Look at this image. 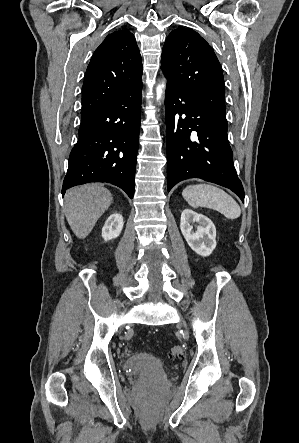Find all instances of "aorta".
<instances>
[{"instance_id": "obj_1", "label": "aorta", "mask_w": 299, "mask_h": 443, "mask_svg": "<svg viewBox=\"0 0 299 443\" xmlns=\"http://www.w3.org/2000/svg\"><path fill=\"white\" fill-rule=\"evenodd\" d=\"M164 86H165L164 83H162L161 85L157 86V88H156L157 100L161 99Z\"/></svg>"}]
</instances>
